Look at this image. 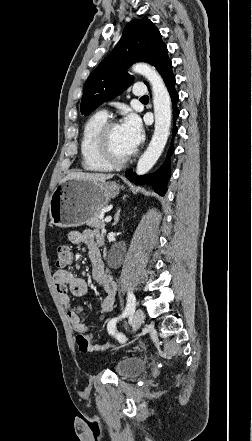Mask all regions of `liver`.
<instances>
[{"mask_svg":"<svg viewBox=\"0 0 252 441\" xmlns=\"http://www.w3.org/2000/svg\"><path fill=\"white\" fill-rule=\"evenodd\" d=\"M112 174H103V173H85V172H73L68 174L62 182L67 180L76 179V180H86L93 182H105L107 179L112 178Z\"/></svg>","mask_w":252,"mask_h":441,"instance_id":"obj_1","label":"liver"}]
</instances>
